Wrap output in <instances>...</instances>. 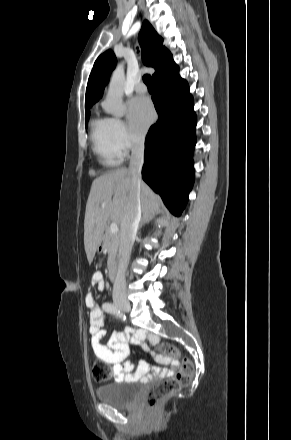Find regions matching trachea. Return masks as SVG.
Instances as JSON below:
<instances>
[{
  "label": "trachea",
  "mask_w": 291,
  "mask_h": 440,
  "mask_svg": "<svg viewBox=\"0 0 291 440\" xmlns=\"http://www.w3.org/2000/svg\"><path fill=\"white\" fill-rule=\"evenodd\" d=\"M143 81L145 82V84L147 85L148 88H152V79L151 76L146 74L143 76Z\"/></svg>",
  "instance_id": "trachea-1"
}]
</instances>
